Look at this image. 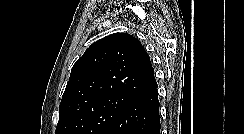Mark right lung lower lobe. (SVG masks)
I'll use <instances>...</instances> for the list:
<instances>
[{
    "label": "right lung lower lobe",
    "instance_id": "right-lung-lower-lobe-1",
    "mask_svg": "<svg viewBox=\"0 0 244 134\" xmlns=\"http://www.w3.org/2000/svg\"><path fill=\"white\" fill-rule=\"evenodd\" d=\"M159 106L157 87L141 93L101 134H160Z\"/></svg>",
    "mask_w": 244,
    "mask_h": 134
}]
</instances>
